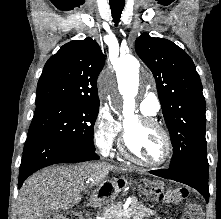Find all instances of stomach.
<instances>
[{
	"instance_id": "1",
	"label": "stomach",
	"mask_w": 221,
	"mask_h": 219,
	"mask_svg": "<svg viewBox=\"0 0 221 219\" xmlns=\"http://www.w3.org/2000/svg\"><path fill=\"white\" fill-rule=\"evenodd\" d=\"M141 192L148 199V204H161V200L167 199L169 190H165V184L161 178H145L139 186Z\"/></svg>"
}]
</instances>
